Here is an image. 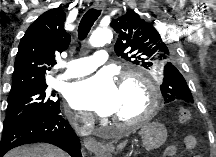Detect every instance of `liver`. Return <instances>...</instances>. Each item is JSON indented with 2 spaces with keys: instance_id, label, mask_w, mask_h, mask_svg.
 Segmentation results:
<instances>
[{
  "instance_id": "obj_1",
  "label": "liver",
  "mask_w": 216,
  "mask_h": 157,
  "mask_svg": "<svg viewBox=\"0 0 216 157\" xmlns=\"http://www.w3.org/2000/svg\"><path fill=\"white\" fill-rule=\"evenodd\" d=\"M5 157H67V154L52 145L39 143L12 149Z\"/></svg>"
}]
</instances>
